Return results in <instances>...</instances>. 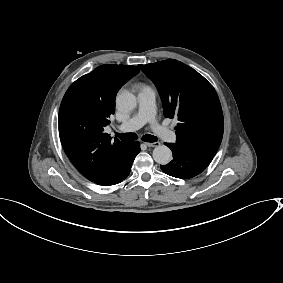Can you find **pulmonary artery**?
<instances>
[{"instance_id":"pulmonary-artery-1","label":"pulmonary artery","mask_w":283,"mask_h":283,"mask_svg":"<svg viewBox=\"0 0 283 283\" xmlns=\"http://www.w3.org/2000/svg\"><path fill=\"white\" fill-rule=\"evenodd\" d=\"M138 108L131 118L120 123L117 127L120 132H133L141 128L146 122L147 127L155 132L158 137L167 140L168 142H175L177 140V133L172 131L168 126H163L155 118L156 117V102L155 93L148 87H142L137 93Z\"/></svg>"}]
</instances>
